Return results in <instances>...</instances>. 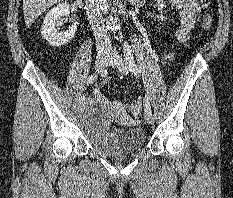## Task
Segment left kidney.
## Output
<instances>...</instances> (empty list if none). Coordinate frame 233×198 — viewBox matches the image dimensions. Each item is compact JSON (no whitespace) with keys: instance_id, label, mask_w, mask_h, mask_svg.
Wrapping results in <instances>:
<instances>
[{"instance_id":"obj_1","label":"left kidney","mask_w":233,"mask_h":198,"mask_svg":"<svg viewBox=\"0 0 233 198\" xmlns=\"http://www.w3.org/2000/svg\"><path fill=\"white\" fill-rule=\"evenodd\" d=\"M155 1H157L156 6H158L160 10H162L164 7H166L163 0H155ZM163 18H164L163 16L160 17L161 20H163Z\"/></svg>"}]
</instances>
